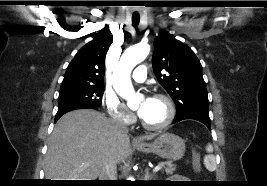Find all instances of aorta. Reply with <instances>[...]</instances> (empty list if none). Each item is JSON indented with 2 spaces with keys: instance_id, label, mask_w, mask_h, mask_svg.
<instances>
[{
  "instance_id": "obj_1",
  "label": "aorta",
  "mask_w": 267,
  "mask_h": 186,
  "mask_svg": "<svg viewBox=\"0 0 267 186\" xmlns=\"http://www.w3.org/2000/svg\"><path fill=\"white\" fill-rule=\"evenodd\" d=\"M150 47L147 44H137L129 47L122 55L114 70L113 85L119 96L126 99L128 104L136 103L138 96L135 94L131 83L132 69L142 62L149 54Z\"/></svg>"
}]
</instances>
